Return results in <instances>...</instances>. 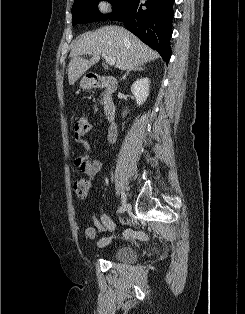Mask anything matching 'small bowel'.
I'll use <instances>...</instances> for the list:
<instances>
[{
    "mask_svg": "<svg viewBox=\"0 0 245 314\" xmlns=\"http://www.w3.org/2000/svg\"><path fill=\"white\" fill-rule=\"evenodd\" d=\"M91 129V124L89 119L84 116L80 118L74 126V140L86 150V154L77 158L76 165L78 168L89 172L91 175H95L100 172L104 165V160L95 159L92 157V149L90 144L85 140L84 136ZM107 140L114 149L115 143L117 141V131L115 128L111 127L107 133ZM96 228H87L85 230V236L88 239H94L97 232L114 231L116 225L111 221L108 215L102 214L94 219ZM127 238H137L140 240H145L147 234L143 231H133L129 230L126 232ZM111 242V237H104L99 241V245L103 246Z\"/></svg>",
    "mask_w": 245,
    "mask_h": 314,
    "instance_id": "small-bowel-1",
    "label": "small bowel"
}]
</instances>
